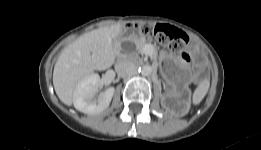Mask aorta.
I'll list each match as a JSON object with an SVG mask.
<instances>
[{
    "mask_svg": "<svg viewBox=\"0 0 261 150\" xmlns=\"http://www.w3.org/2000/svg\"><path fill=\"white\" fill-rule=\"evenodd\" d=\"M153 70H154V69H153L152 66H150V65H144V66L141 68V74H142L143 76H149V75L152 74Z\"/></svg>",
    "mask_w": 261,
    "mask_h": 150,
    "instance_id": "obj_1",
    "label": "aorta"
}]
</instances>
